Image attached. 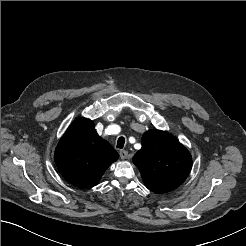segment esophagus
Here are the masks:
<instances>
[{"label":"esophagus","instance_id":"esophagus-1","mask_svg":"<svg viewBox=\"0 0 246 246\" xmlns=\"http://www.w3.org/2000/svg\"><path fill=\"white\" fill-rule=\"evenodd\" d=\"M119 155L121 159H126L128 157V151L126 150H120Z\"/></svg>","mask_w":246,"mask_h":246}]
</instances>
